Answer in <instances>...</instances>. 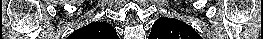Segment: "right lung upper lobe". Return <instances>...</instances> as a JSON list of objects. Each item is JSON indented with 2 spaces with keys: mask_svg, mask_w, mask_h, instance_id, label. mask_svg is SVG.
Instances as JSON below:
<instances>
[{
  "mask_svg": "<svg viewBox=\"0 0 263 39\" xmlns=\"http://www.w3.org/2000/svg\"><path fill=\"white\" fill-rule=\"evenodd\" d=\"M82 39H117L116 30L106 22H94L74 32Z\"/></svg>",
  "mask_w": 263,
  "mask_h": 39,
  "instance_id": "1",
  "label": "right lung upper lobe"
}]
</instances>
